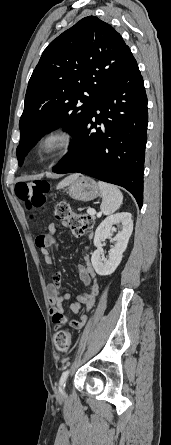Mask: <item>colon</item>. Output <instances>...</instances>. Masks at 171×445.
<instances>
[{
    "mask_svg": "<svg viewBox=\"0 0 171 445\" xmlns=\"http://www.w3.org/2000/svg\"><path fill=\"white\" fill-rule=\"evenodd\" d=\"M50 185L47 181L37 180L31 183H18L16 196L28 210H42L46 204V195ZM55 218L68 227L74 236L81 237L92 226V218L87 214H77L67 201H61L55 208ZM55 322L62 326L66 322L63 316H56ZM54 344L58 351H66L70 345V334L64 329L55 333Z\"/></svg>",
    "mask_w": 171,
    "mask_h": 445,
    "instance_id": "obj_1",
    "label": "colon"
}]
</instances>
